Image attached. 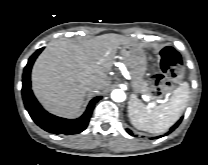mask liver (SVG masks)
<instances>
[{
  "instance_id": "liver-1",
  "label": "liver",
  "mask_w": 208,
  "mask_h": 165,
  "mask_svg": "<svg viewBox=\"0 0 208 165\" xmlns=\"http://www.w3.org/2000/svg\"><path fill=\"white\" fill-rule=\"evenodd\" d=\"M133 45L118 34H104L81 42L53 41L37 58L32 69V88L38 100L51 113L76 116L84 102L87 87L108 86L119 46Z\"/></svg>"
}]
</instances>
